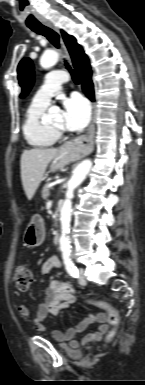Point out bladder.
Masks as SVG:
<instances>
[{"label":"bladder","mask_w":145,"mask_h":385,"mask_svg":"<svg viewBox=\"0 0 145 385\" xmlns=\"http://www.w3.org/2000/svg\"><path fill=\"white\" fill-rule=\"evenodd\" d=\"M61 345V344H60ZM62 346V345H61ZM74 356H77V357H79L80 355H81V353H79V352H75V353H72Z\"/></svg>","instance_id":"bladder-1"}]
</instances>
